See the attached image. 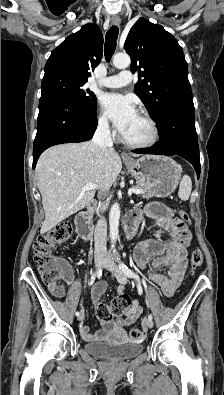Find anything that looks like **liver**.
Wrapping results in <instances>:
<instances>
[{
	"instance_id": "obj_1",
	"label": "liver",
	"mask_w": 224,
	"mask_h": 395,
	"mask_svg": "<svg viewBox=\"0 0 224 395\" xmlns=\"http://www.w3.org/2000/svg\"><path fill=\"white\" fill-rule=\"evenodd\" d=\"M121 170L118 153L114 149L103 153L93 141L57 145L44 151L36 166L45 212L41 234L85 208L95 190L109 188ZM89 183L96 188L84 191L82 187Z\"/></svg>"
}]
</instances>
